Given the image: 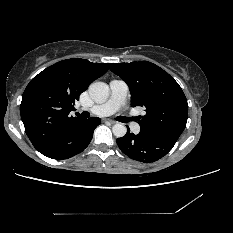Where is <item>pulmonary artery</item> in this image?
Listing matches in <instances>:
<instances>
[{"mask_svg":"<svg viewBox=\"0 0 233 233\" xmlns=\"http://www.w3.org/2000/svg\"><path fill=\"white\" fill-rule=\"evenodd\" d=\"M109 87V98L105 102L89 108V111L92 114H95L97 116H107L116 112L121 107L123 101L128 94V85L123 80L113 79L110 81ZM127 121L135 133L140 132V125L136 120L128 118Z\"/></svg>","mask_w":233,"mask_h":233,"instance_id":"pulmonary-artery-1","label":"pulmonary artery"}]
</instances>
